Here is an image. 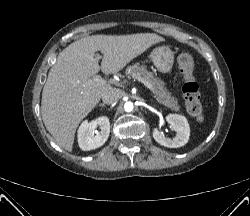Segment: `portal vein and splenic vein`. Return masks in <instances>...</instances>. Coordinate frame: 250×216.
Listing matches in <instances>:
<instances>
[{"label":"portal vein and splenic vein","mask_w":250,"mask_h":216,"mask_svg":"<svg viewBox=\"0 0 250 216\" xmlns=\"http://www.w3.org/2000/svg\"><path fill=\"white\" fill-rule=\"evenodd\" d=\"M134 78L137 79L139 82L143 83L144 86L147 87L150 91H153L152 85L143 77H141L140 75H134ZM108 82L112 83L113 80H109ZM106 83L107 81L103 79L100 75L93 77V79L89 81V84L92 86H102Z\"/></svg>","instance_id":"18ae733b"}]
</instances>
